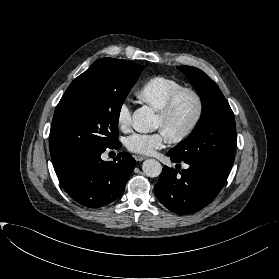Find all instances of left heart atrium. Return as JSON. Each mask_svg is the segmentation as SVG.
<instances>
[{
    "label": "left heart atrium",
    "instance_id": "1",
    "mask_svg": "<svg viewBox=\"0 0 279 279\" xmlns=\"http://www.w3.org/2000/svg\"><path fill=\"white\" fill-rule=\"evenodd\" d=\"M168 141V137L161 131L155 133H134L126 138V148L140 155H152L162 149Z\"/></svg>",
    "mask_w": 279,
    "mask_h": 279
}]
</instances>
